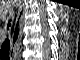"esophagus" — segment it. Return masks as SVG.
<instances>
[{
    "instance_id": "34e87169",
    "label": "esophagus",
    "mask_w": 80,
    "mask_h": 60,
    "mask_svg": "<svg viewBox=\"0 0 80 60\" xmlns=\"http://www.w3.org/2000/svg\"><path fill=\"white\" fill-rule=\"evenodd\" d=\"M24 13H25L24 4L20 3L19 9L17 12V17L15 20L12 39H11V43H12L11 53L14 57H16V52L18 51L19 46H20V40L22 37L23 21H24Z\"/></svg>"
}]
</instances>
